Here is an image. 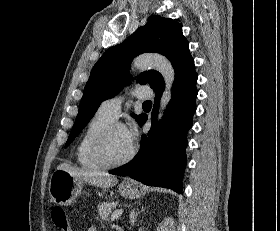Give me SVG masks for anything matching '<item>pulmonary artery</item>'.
I'll return each mask as SVG.
<instances>
[{
    "label": "pulmonary artery",
    "mask_w": 280,
    "mask_h": 231,
    "mask_svg": "<svg viewBox=\"0 0 280 231\" xmlns=\"http://www.w3.org/2000/svg\"><path fill=\"white\" fill-rule=\"evenodd\" d=\"M133 95L140 100H146V99H150L153 96V92L150 90L148 86H138L134 90ZM123 101H124L123 96H116L107 99L101 103L98 112L115 120L118 118L120 114Z\"/></svg>",
    "instance_id": "e3ab8cb5"
}]
</instances>
